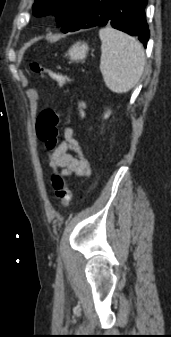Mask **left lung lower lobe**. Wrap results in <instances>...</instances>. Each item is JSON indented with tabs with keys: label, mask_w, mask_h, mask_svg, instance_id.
I'll return each instance as SVG.
<instances>
[{
	"label": "left lung lower lobe",
	"mask_w": 171,
	"mask_h": 337,
	"mask_svg": "<svg viewBox=\"0 0 171 337\" xmlns=\"http://www.w3.org/2000/svg\"><path fill=\"white\" fill-rule=\"evenodd\" d=\"M147 0H85L74 26L68 31L111 25L138 39L146 47L150 31L145 17Z\"/></svg>",
	"instance_id": "1"
}]
</instances>
